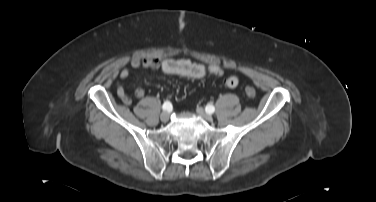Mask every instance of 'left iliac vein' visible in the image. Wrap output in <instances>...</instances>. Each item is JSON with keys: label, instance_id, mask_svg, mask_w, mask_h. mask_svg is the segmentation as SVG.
I'll use <instances>...</instances> for the list:
<instances>
[{"label": "left iliac vein", "instance_id": "left-iliac-vein-1", "mask_svg": "<svg viewBox=\"0 0 376 202\" xmlns=\"http://www.w3.org/2000/svg\"><path fill=\"white\" fill-rule=\"evenodd\" d=\"M196 112L207 121H212L213 117L210 113H207L202 107H197Z\"/></svg>", "mask_w": 376, "mask_h": 202}]
</instances>
